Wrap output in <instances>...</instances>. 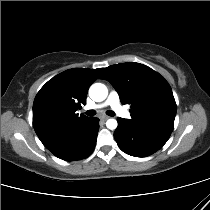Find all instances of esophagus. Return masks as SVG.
<instances>
[{
  "label": "esophagus",
  "instance_id": "34e87169",
  "mask_svg": "<svg viewBox=\"0 0 210 210\" xmlns=\"http://www.w3.org/2000/svg\"><path fill=\"white\" fill-rule=\"evenodd\" d=\"M100 119L105 121V120L109 119V116L103 115V116L100 117Z\"/></svg>",
  "mask_w": 210,
  "mask_h": 210
}]
</instances>
